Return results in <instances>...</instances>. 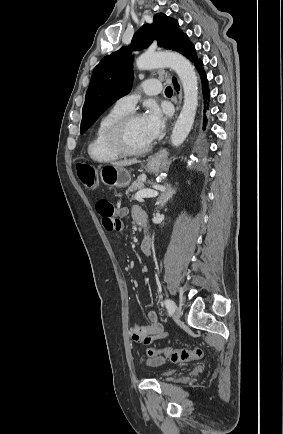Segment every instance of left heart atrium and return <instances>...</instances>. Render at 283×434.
<instances>
[{"mask_svg": "<svg viewBox=\"0 0 283 434\" xmlns=\"http://www.w3.org/2000/svg\"><path fill=\"white\" fill-rule=\"evenodd\" d=\"M142 127L149 141L156 139L165 127L163 112L156 105H152L141 117Z\"/></svg>", "mask_w": 283, "mask_h": 434, "instance_id": "left-heart-atrium-1", "label": "left heart atrium"}]
</instances>
